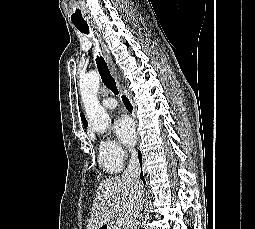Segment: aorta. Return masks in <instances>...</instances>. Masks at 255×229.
Masks as SVG:
<instances>
[{"label": "aorta", "mask_w": 255, "mask_h": 229, "mask_svg": "<svg viewBox=\"0 0 255 229\" xmlns=\"http://www.w3.org/2000/svg\"><path fill=\"white\" fill-rule=\"evenodd\" d=\"M99 84V74L96 71H90L80 79V93L90 124L95 131L103 133L110 124V117L98 101Z\"/></svg>", "instance_id": "aorta-1"}]
</instances>
